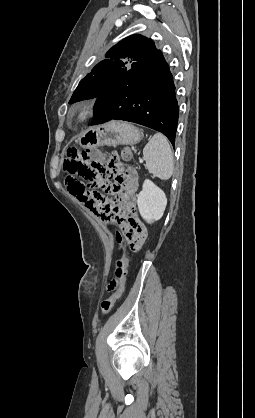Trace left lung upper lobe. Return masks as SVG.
<instances>
[{
	"label": "left lung upper lobe",
	"mask_w": 255,
	"mask_h": 418,
	"mask_svg": "<svg viewBox=\"0 0 255 418\" xmlns=\"http://www.w3.org/2000/svg\"><path fill=\"white\" fill-rule=\"evenodd\" d=\"M157 51L154 42L135 34L121 40L80 82L69 103L100 97L113 87L125 73Z\"/></svg>",
	"instance_id": "obj_1"
}]
</instances>
